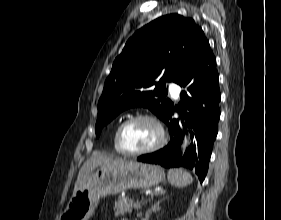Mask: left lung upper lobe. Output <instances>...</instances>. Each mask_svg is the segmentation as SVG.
Segmentation results:
<instances>
[{
    "mask_svg": "<svg viewBox=\"0 0 281 220\" xmlns=\"http://www.w3.org/2000/svg\"><path fill=\"white\" fill-rule=\"evenodd\" d=\"M209 47L194 20L178 14L162 16L136 31L105 81L98 102L97 137L104 125L134 106L146 107L166 122L173 107L166 98V83L178 84L192 61Z\"/></svg>",
    "mask_w": 281,
    "mask_h": 220,
    "instance_id": "obj_1",
    "label": "left lung upper lobe"
}]
</instances>
